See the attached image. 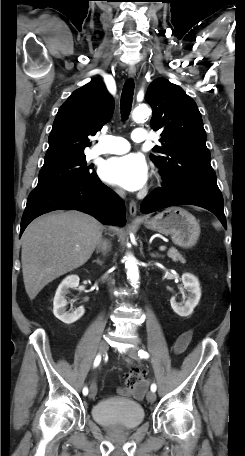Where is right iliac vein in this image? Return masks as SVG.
<instances>
[{"label":"right iliac vein","instance_id":"63e3f726","mask_svg":"<svg viewBox=\"0 0 245 456\" xmlns=\"http://www.w3.org/2000/svg\"><path fill=\"white\" fill-rule=\"evenodd\" d=\"M108 350V344L106 341H101L100 345H99V353L100 355H105L106 352ZM97 394V386L95 383H92L91 386H90V393H89V397L91 399H93Z\"/></svg>","mask_w":245,"mask_h":456}]
</instances>
